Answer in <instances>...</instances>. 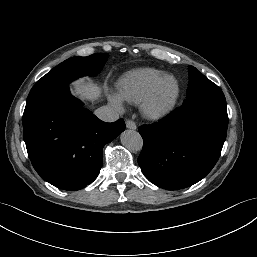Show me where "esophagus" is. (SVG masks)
Returning <instances> with one entry per match:
<instances>
[{
  "mask_svg": "<svg viewBox=\"0 0 257 257\" xmlns=\"http://www.w3.org/2000/svg\"><path fill=\"white\" fill-rule=\"evenodd\" d=\"M126 128L135 130L137 128V125L132 120H127L126 121Z\"/></svg>",
  "mask_w": 257,
  "mask_h": 257,
  "instance_id": "34e87169",
  "label": "esophagus"
}]
</instances>
